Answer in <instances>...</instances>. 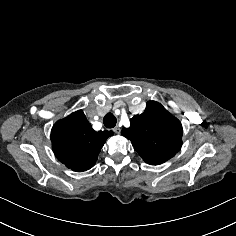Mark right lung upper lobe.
I'll return each instance as SVG.
<instances>
[{
	"label": "right lung upper lobe",
	"instance_id": "right-lung-upper-lobe-1",
	"mask_svg": "<svg viewBox=\"0 0 236 236\" xmlns=\"http://www.w3.org/2000/svg\"><path fill=\"white\" fill-rule=\"evenodd\" d=\"M112 131L95 132L82 110L56 122L51 131L53 151L60 162L74 171L94 166L98 154Z\"/></svg>",
	"mask_w": 236,
	"mask_h": 236
}]
</instances>
